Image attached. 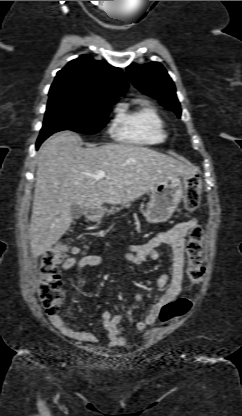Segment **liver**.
Listing matches in <instances>:
<instances>
[{
  "instance_id": "liver-1",
  "label": "liver",
  "mask_w": 242,
  "mask_h": 416,
  "mask_svg": "<svg viewBox=\"0 0 242 416\" xmlns=\"http://www.w3.org/2000/svg\"><path fill=\"white\" fill-rule=\"evenodd\" d=\"M70 131L46 139L39 148L29 229L34 257L47 252L70 228L71 205L99 209L104 203L136 200L169 176H194L179 160L133 144L81 146ZM105 172L103 179L92 176Z\"/></svg>"
}]
</instances>
